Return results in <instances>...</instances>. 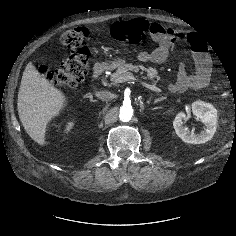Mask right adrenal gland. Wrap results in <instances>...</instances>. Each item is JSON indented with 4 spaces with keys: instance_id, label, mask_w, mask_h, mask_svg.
<instances>
[{
    "instance_id": "2a0ac1e0",
    "label": "right adrenal gland",
    "mask_w": 236,
    "mask_h": 236,
    "mask_svg": "<svg viewBox=\"0 0 236 236\" xmlns=\"http://www.w3.org/2000/svg\"><path fill=\"white\" fill-rule=\"evenodd\" d=\"M86 97H88L90 99L91 102H97V100H94L92 95L89 94V95H86Z\"/></svg>"
}]
</instances>
